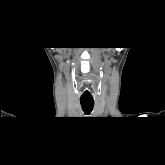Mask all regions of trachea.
<instances>
[{"mask_svg": "<svg viewBox=\"0 0 165 165\" xmlns=\"http://www.w3.org/2000/svg\"><path fill=\"white\" fill-rule=\"evenodd\" d=\"M83 111L89 114L94 107V100H80Z\"/></svg>", "mask_w": 165, "mask_h": 165, "instance_id": "trachea-1", "label": "trachea"}]
</instances>
